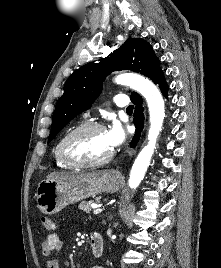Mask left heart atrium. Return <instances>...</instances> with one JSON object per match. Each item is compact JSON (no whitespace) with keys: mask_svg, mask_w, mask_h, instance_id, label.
<instances>
[{"mask_svg":"<svg viewBox=\"0 0 221 268\" xmlns=\"http://www.w3.org/2000/svg\"><path fill=\"white\" fill-rule=\"evenodd\" d=\"M105 132L112 150L120 146L125 140V132L122 126L116 121H114L110 128Z\"/></svg>","mask_w":221,"mask_h":268,"instance_id":"left-heart-atrium-1","label":"left heart atrium"}]
</instances>
